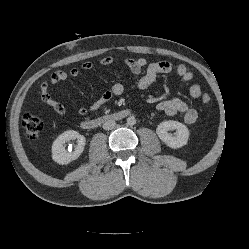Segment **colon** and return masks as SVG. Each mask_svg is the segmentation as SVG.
Instances as JSON below:
<instances>
[{"label": "colon", "instance_id": "5ec220e1", "mask_svg": "<svg viewBox=\"0 0 249 249\" xmlns=\"http://www.w3.org/2000/svg\"><path fill=\"white\" fill-rule=\"evenodd\" d=\"M201 100L209 102L210 95L207 92L202 93ZM22 126L28 138L36 139L43 129V116L40 113L28 112L22 117Z\"/></svg>", "mask_w": 249, "mask_h": 249}]
</instances>
